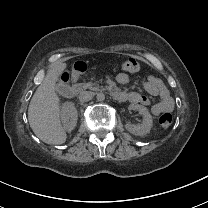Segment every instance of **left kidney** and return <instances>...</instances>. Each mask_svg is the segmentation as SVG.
Instances as JSON below:
<instances>
[{"label":"left kidney","instance_id":"obj_1","mask_svg":"<svg viewBox=\"0 0 208 208\" xmlns=\"http://www.w3.org/2000/svg\"><path fill=\"white\" fill-rule=\"evenodd\" d=\"M128 109L139 111L144 116V119L140 125L126 124L125 129L129 133L136 136H144L148 134L152 127V116L150 115L148 109L138 104H131L128 106Z\"/></svg>","mask_w":208,"mask_h":208}]
</instances>
